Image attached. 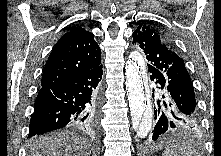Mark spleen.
Returning a JSON list of instances; mask_svg holds the SVG:
<instances>
[{
  "mask_svg": "<svg viewBox=\"0 0 221 156\" xmlns=\"http://www.w3.org/2000/svg\"><path fill=\"white\" fill-rule=\"evenodd\" d=\"M162 156H200L198 152L191 146L176 143L170 148L166 149Z\"/></svg>",
  "mask_w": 221,
  "mask_h": 156,
  "instance_id": "3e777b00",
  "label": "spleen"
}]
</instances>
